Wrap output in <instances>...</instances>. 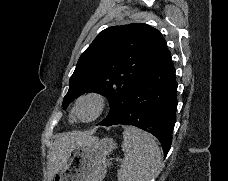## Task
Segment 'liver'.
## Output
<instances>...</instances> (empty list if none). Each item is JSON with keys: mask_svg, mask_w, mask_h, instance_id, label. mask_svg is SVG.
<instances>
[{"mask_svg": "<svg viewBox=\"0 0 228 181\" xmlns=\"http://www.w3.org/2000/svg\"><path fill=\"white\" fill-rule=\"evenodd\" d=\"M93 141L94 137H91L90 133H59L56 135L52 151L47 155L49 181H52L59 169L66 165L71 149L91 145Z\"/></svg>", "mask_w": 228, "mask_h": 181, "instance_id": "liver-1", "label": "liver"}]
</instances>
